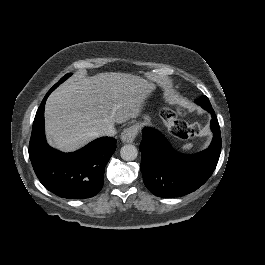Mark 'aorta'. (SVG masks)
I'll use <instances>...</instances> for the list:
<instances>
[{"label":"aorta","instance_id":"762f6f07","mask_svg":"<svg viewBox=\"0 0 265 265\" xmlns=\"http://www.w3.org/2000/svg\"><path fill=\"white\" fill-rule=\"evenodd\" d=\"M121 158L125 161H133L137 158V148L132 144L124 145L120 150Z\"/></svg>","mask_w":265,"mask_h":265}]
</instances>
